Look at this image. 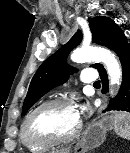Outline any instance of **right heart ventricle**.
Returning a JSON list of instances; mask_svg holds the SVG:
<instances>
[{
	"instance_id": "right-heart-ventricle-1",
	"label": "right heart ventricle",
	"mask_w": 130,
	"mask_h": 153,
	"mask_svg": "<svg viewBox=\"0 0 130 153\" xmlns=\"http://www.w3.org/2000/svg\"><path fill=\"white\" fill-rule=\"evenodd\" d=\"M20 141L21 143L29 150L31 151H35V152H41V151H44L48 148V146H42V145H34L30 142H28L22 132V127H21V130H20Z\"/></svg>"
}]
</instances>
